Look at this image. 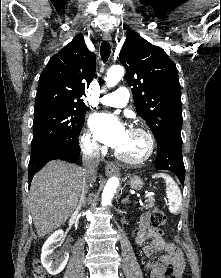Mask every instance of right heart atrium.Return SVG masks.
Instances as JSON below:
<instances>
[{
  "mask_svg": "<svg viewBox=\"0 0 221 278\" xmlns=\"http://www.w3.org/2000/svg\"><path fill=\"white\" fill-rule=\"evenodd\" d=\"M80 145L82 150L90 155L97 154L99 151V144L91 132H86L82 135Z\"/></svg>",
  "mask_w": 221,
  "mask_h": 278,
  "instance_id": "obj_1",
  "label": "right heart atrium"
}]
</instances>
